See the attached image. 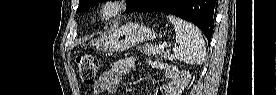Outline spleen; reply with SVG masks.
<instances>
[{
	"mask_svg": "<svg viewBox=\"0 0 277 95\" xmlns=\"http://www.w3.org/2000/svg\"><path fill=\"white\" fill-rule=\"evenodd\" d=\"M176 31V59L187 64H201L205 60L206 49L200 31L191 23L172 15L167 16Z\"/></svg>",
	"mask_w": 277,
	"mask_h": 95,
	"instance_id": "obj_1",
	"label": "spleen"
}]
</instances>
